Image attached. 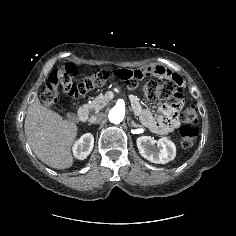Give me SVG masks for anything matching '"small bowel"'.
I'll return each instance as SVG.
<instances>
[{
	"label": "small bowel",
	"instance_id": "obj_1",
	"mask_svg": "<svg viewBox=\"0 0 236 236\" xmlns=\"http://www.w3.org/2000/svg\"><path fill=\"white\" fill-rule=\"evenodd\" d=\"M144 76L169 77L175 83L179 85L182 84V79L178 75L172 74L162 66H149L143 70H129L124 68H116L114 70V77L123 85L130 88L136 87L139 80H142ZM131 103L135 113L140 117L143 124L151 130L160 134L172 133L175 130L177 126V120L174 117V113L176 112L175 108L169 105H163L161 108L163 115L154 118L151 112L141 108L137 98H133Z\"/></svg>",
	"mask_w": 236,
	"mask_h": 236
}]
</instances>
